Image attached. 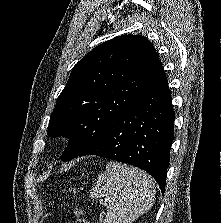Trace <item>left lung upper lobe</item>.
I'll return each mask as SVG.
<instances>
[{
  "label": "left lung upper lobe",
  "mask_w": 221,
  "mask_h": 223,
  "mask_svg": "<svg viewBox=\"0 0 221 223\" xmlns=\"http://www.w3.org/2000/svg\"><path fill=\"white\" fill-rule=\"evenodd\" d=\"M162 69L152 43L141 35L117 36L80 60L49 120V136L70 137L60 159H74L100 139Z\"/></svg>",
  "instance_id": "5c2ea615"
}]
</instances>
